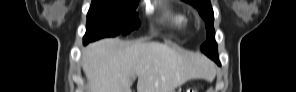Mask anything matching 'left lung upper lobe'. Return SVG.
Returning a JSON list of instances; mask_svg holds the SVG:
<instances>
[{"label": "left lung upper lobe", "mask_w": 296, "mask_h": 92, "mask_svg": "<svg viewBox=\"0 0 296 92\" xmlns=\"http://www.w3.org/2000/svg\"><path fill=\"white\" fill-rule=\"evenodd\" d=\"M193 5L200 16L205 20L207 29V41L201 46V51L208 57L218 62L217 44L215 42V31L213 28L214 15L210 0H183Z\"/></svg>", "instance_id": "left-lung-upper-lobe-1"}]
</instances>
